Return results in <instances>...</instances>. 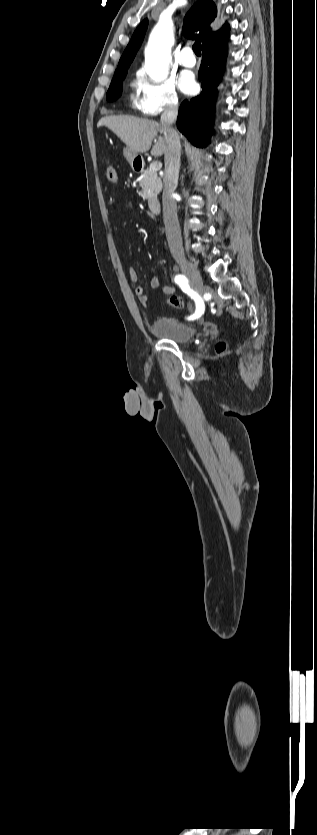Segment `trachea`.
I'll return each instance as SVG.
<instances>
[{
    "instance_id": "1",
    "label": "trachea",
    "mask_w": 317,
    "mask_h": 835,
    "mask_svg": "<svg viewBox=\"0 0 317 835\" xmlns=\"http://www.w3.org/2000/svg\"><path fill=\"white\" fill-rule=\"evenodd\" d=\"M193 51H194V53H195L196 55H198V56H200V55H201L200 41H196V42L193 44Z\"/></svg>"
}]
</instances>
